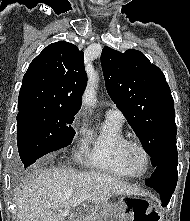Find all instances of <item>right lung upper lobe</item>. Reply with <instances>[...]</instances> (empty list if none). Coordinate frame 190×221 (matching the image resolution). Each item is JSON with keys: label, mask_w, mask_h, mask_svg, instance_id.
Listing matches in <instances>:
<instances>
[{"label": "right lung upper lobe", "mask_w": 190, "mask_h": 221, "mask_svg": "<svg viewBox=\"0 0 190 221\" xmlns=\"http://www.w3.org/2000/svg\"><path fill=\"white\" fill-rule=\"evenodd\" d=\"M84 53L59 41L48 45L31 62L19 93V111L35 108L77 112L86 87Z\"/></svg>", "instance_id": "1"}]
</instances>
